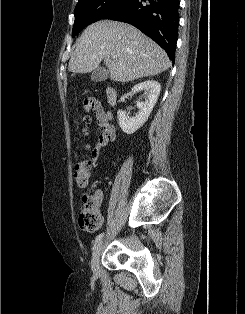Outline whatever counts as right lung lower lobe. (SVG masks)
<instances>
[{
  "mask_svg": "<svg viewBox=\"0 0 245 314\" xmlns=\"http://www.w3.org/2000/svg\"><path fill=\"white\" fill-rule=\"evenodd\" d=\"M179 0H129L103 19L129 23L156 43L174 62L179 25Z\"/></svg>",
  "mask_w": 245,
  "mask_h": 314,
  "instance_id": "1",
  "label": "right lung lower lobe"
}]
</instances>
